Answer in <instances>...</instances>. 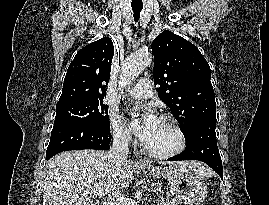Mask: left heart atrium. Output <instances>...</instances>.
Segmentation results:
<instances>
[{
  "mask_svg": "<svg viewBox=\"0 0 269 205\" xmlns=\"http://www.w3.org/2000/svg\"><path fill=\"white\" fill-rule=\"evenodd\" d=\"M159 120L154 110L149 106L134 108L130 113V129L145 143L154 133Z\"/></svg>",
  "mask_w": 269,
  "mask_h": 205,
  "instance_id": "39dd6f15",
  "label": "left heart atrium"
}]
</instances>
